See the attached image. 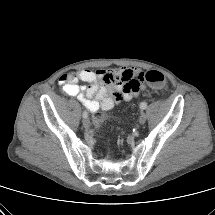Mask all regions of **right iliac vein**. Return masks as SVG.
<instances>
[{
  "instance_id": "1",
  "label": "right iliac vein",
  "mask_w": 215,
  "mask_h": 215,
  "mask_svg": "<svg viewBox=\"0 0 215 215\" xmlns=\"http://www.w3.org/2000/svg\"><path fill=\"white\" fill-rule=\"evenodd\" d=\"M82 123H83V126H84L85 128H89V126H90V121H89L88 118H84L83 121H82Z\"/></svg>"
}]
</instances>
